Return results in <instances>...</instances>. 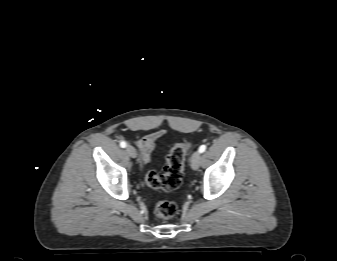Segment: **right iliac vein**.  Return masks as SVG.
I'll return each instance as SVG.
<instances>
[{"instance_id": "63e3f726", "label": "right iliac vein", "mask_w": 337, "mask_h": 261, "mask_svg": "<svg viewBox=\"0 0 337 261\" xmlns=\"http://www.w3.org/2000/svg\"><path fill=\"white\" fill-rule=\"evenodd\" d=\"M126 153L132 158H136V156H137L136 149L132 146L126 147Z\"/></svg>"}]
</instances>
